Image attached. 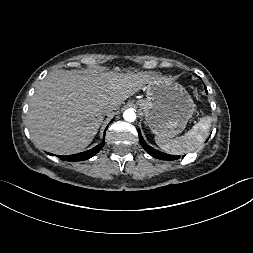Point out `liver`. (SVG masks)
<instances>
[{"label": "liver", "mask_w": 253, "mask_h": 253, "mask_svg": "<svg viewBox=\"0 0 253 253\" xmlns=\"http://www.w3.org/2000/svg\"><path fill=\"white\" fill-rule=\"evenodd\" d=\"M148 81L142 72H51L37 87L27 115L34 143L58 155L81 152L97 134L105 107L117 110Z\"/></svg>", "instance_id": "obj_1"}]
</instances>
